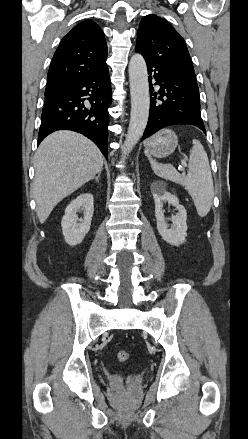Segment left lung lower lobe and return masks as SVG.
I'll use <instances>...</instances> for the list:
<instances>
[{
  "label": "left lung lower lobe",
  "instance_id": "0a47b994",
  "mask_svg": "<svg viewBox=\"0 0 248 439\" xmlns=\"http://www.w3.org/2000/svg\"><path fill=\"white\" fill-rule=\"evenodd\" d=\"M145 61L150 74L151 101L149 119L142 140L164 127L179 124L194 125L206 133L200 113L197 81L146 58ZM152 80L156 81L155 85L160 86L158 92H154Z\"/></svg>",
  "mask_w": 248,
  "mask_h": 439
}]
</instances>
